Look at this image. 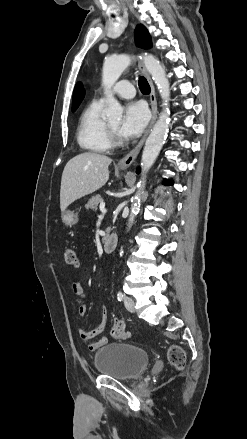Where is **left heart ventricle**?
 Wrapping results in <instances>:
<instances>
[{
  "label": "left heart ventricle",
  "mask_w": 247,
  "mask_h": 439,
  "mask_svg": "<svg viewBox=\"0 0 247 439\" xmlns=\"http://www.w3.org/2000/svg\"><path fill=\"white\" fill-rule=\"evenodd\" d=\"M109 124L117 131L118 130V127H119V124H120V120H112V121H110L109 122Z\"/></svg>",
  "instance_id": "b2bd125f"
}]
</instances>
